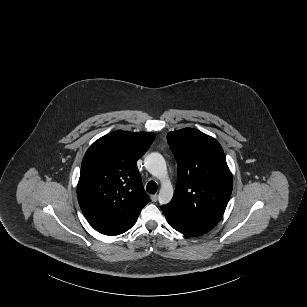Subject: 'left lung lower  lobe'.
<instances>
[{"label":"left lung lower lobe","mask_w":307,"mask_h":307,"mask_svg":"<svg viewBox=\"0 0 307 307\" xmlns=\"http://www.w3.org/2000/svg\"><path fill=\"white\" fill-rule=\"evenodd\" d=\"M161 209L168 223L178 232L186 236H200L206 233V231L194 227L185 222L183 219L177 217L173 210L166 208L164 206H162Z\"/></svg>","instance_id":"obj_1"}]
</instances>
